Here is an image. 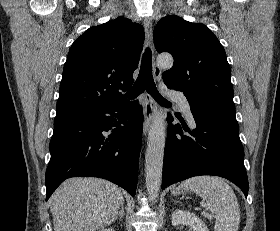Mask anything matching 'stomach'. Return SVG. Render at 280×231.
<instances>
[{"label":"stomach","instance_id":"stomach-1","mask_svg":"<svg viewBox=\"0 0 280 231\" xmlns=\"http://www.w3.org/2000/svg\"><path fill=\"white\" fill-rule=\"evenodd\" d=\"M174 195H180V193H183V191H181V189H175V191H173Z\"/></svg>","mask_w":280,"mask_h":231}]
</instances>
